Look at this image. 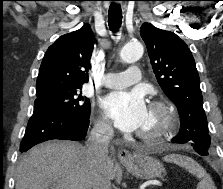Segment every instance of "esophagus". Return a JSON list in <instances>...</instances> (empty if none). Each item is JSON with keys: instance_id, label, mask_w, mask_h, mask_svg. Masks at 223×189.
<instances>
[{"instance_id": "1", "label": "esophagus", "mask_w": 223, "mask_h": 189, "mask_svg": "<svg viewBox=\"0 0 223 189\" xmlns=\"http://www.w3.org/2000/svg\"><path fill=\"white\" fill-rule=\"evenodd\" d=\"M118 158H119L121 163L128 164L132 160V155H131V153L128 150L121 149L118 152Z\"/></svg>"}]
</instances>
